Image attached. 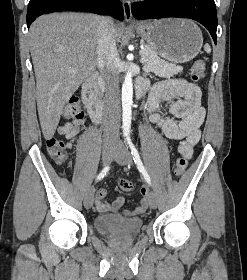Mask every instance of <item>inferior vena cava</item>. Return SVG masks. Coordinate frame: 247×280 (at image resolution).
Returning a JSON list of instances; mask_svg holds the SVG:
<instances>
[{
    "instance_id": "602c4592",
    "label": "inferior vena cava",
    "mask_w": 247,
    "mask_h": 280,
    "mask_svg": "<svg viewBox=\"0 0 247 280\" xmlns=\"http://www.w3.org/2000/svg\"><path fill=\"white\" fill-rule=\"evenodd\" d=\"M98 36L97 65L105 81V140L114 141L120 128V90L116 29L111 17L100 18Z\"/></svg>"
}]
</instances>
